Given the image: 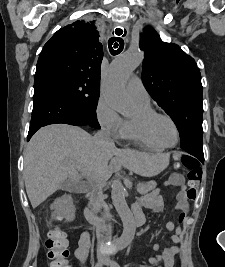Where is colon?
I'll return each instance as SVG.
<instances>
[{"instance_id": "obj_1", "label": "colon", "mask_w": 225, "mask_h": 267, "mask_svg": "<svg viewBox=\"0 0 225 267\" xmlns=\"http://www.w3.org/2000/svg\"><path fill=\"white\" fill-rule=\"evenodd\" d=\"M176 161V166H184L188 170L189 187L187 197L190 200H195L198 193V188L203 179V170L199 161L187 154L175 153L173 155ZM186 217V212L182 211L179 214L178 221L182 223ZM48 250L47 256L51 260L50 267H70L68 265V242L65 232L59 227H55L48 232V237L45 242Z\"/></svg>"}]
</instances>
